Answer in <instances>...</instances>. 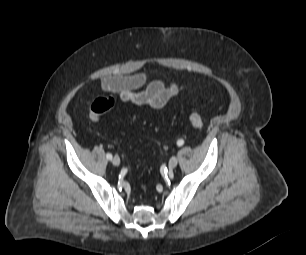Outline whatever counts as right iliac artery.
Listing matches in <instances>:
<instances>
[{
    "label": "right iliac artery",
    "instance_id": "right-iliac-artery-1",
    "mask_svg": "<svg viewBox=\"0 0 306 255\" xmlns=\"http://www.w3.org/2000/svg\"><path fill=\"white\" fill-rule=\"evenodd\" d=\"M106 158H107L108 160H111V159H112V154H111V153H107V154H106Z\"/></svg>",
    "mask_w": 306,
    "mask_h": 255
}]
</instances>
